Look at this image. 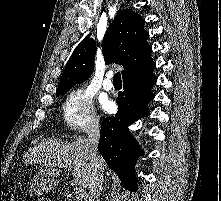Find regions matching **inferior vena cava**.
<instances>
[{"instance_id": "obj_1", "label": "inferior vena cava", "mask_w": 221, "mask_h": 201, "mask_svg": "<svg viewBox=\"0 0 221 201\" xmlns=\"http://www.w3.org/2000/svg\"><path fill=\"white\" fill-rule=\"evenodd\" d=\"M100 138L99 121H91L87 129V146L91 163V177L88 185V201H99L103 184V170L98 153L97 145Z\"/></svg>"}]
</instances>
